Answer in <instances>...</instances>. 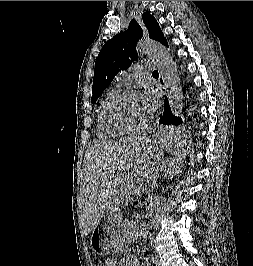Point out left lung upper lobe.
Returning <instances> with one entry per match:
<instances>
[{"instance_id":"1","label":"left lung upper lobe","mask_w":253,"mask_h":266,"mask_svg":"<svg viewBox=\"0 0 253 266\" xmlns=\"http://www.w3.org/2000/svg\"><path fill=\"white\" fill-rule=\"evenodd\" d=\"M142 19L149 37L164 44L166 39L154 16L146 12L142 14ZM142 36V28L136 20H132L126 31H121L102 47L95 62L92 103L97 101L120 71L128 69L137 59L136 43Z\"/></svg>"}]
</instances>
